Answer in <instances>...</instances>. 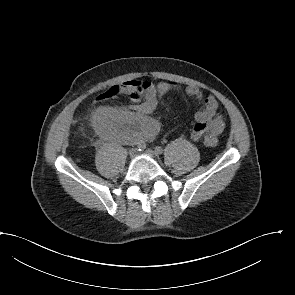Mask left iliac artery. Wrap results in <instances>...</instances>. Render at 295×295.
Listing matches in <instances>:
<instances>
[{"label":"left iliac artery","instance_id":"left-iliac-artery-1","mask_svg":"<svg viewBox=\"0 0 295 295\" xmlns=\"http://www.w3.org/2000/svg\"><path fill=\"white\" fill-rule=\"evenodd\" d=\"M155 153H156L157 155L162 154V153H163V149H162V147H160V146H156V147H155Z\"/></svg>","mask_w":295,"mask_h":295}]
</instances>
